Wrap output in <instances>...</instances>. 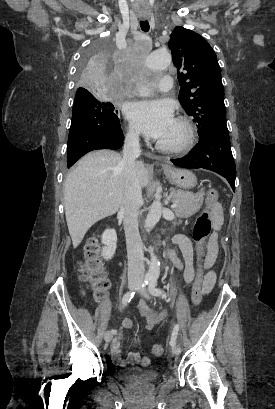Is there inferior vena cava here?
<instances>
[{"instance_id": "1", "label": "inferior vena cava", "mask_w": 275, "mask_h": 409, "mask_svg": "<svg viewBox=\"0 0 275 409\" xmlns=\"http://www.w3.org/2000/svg\"><path fill=\"white\" fill-rule=\"evenodd\" d=\"M140 152L139 132L129 130L123 148L125 188L120 213L123 215L130 281H144V255L137 221L143 198L135 162Z\"/></svg>"}]
</instances>
